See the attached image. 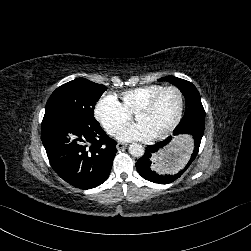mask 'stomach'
<instances>
[{
	"label": "stomach",
	"instance_id": "0dacf381",
	"mask_svg": "<svg viewBox=\"0 0 251 251\" xmlns=\"http://www.w3.org/2000/svg\"><path fill=\"white\" fill-rule=\"evenodd\" d=\"M192 149V142L188 138L175 139L154 158V167L169 175L178 173L183 167V160L191 154Z\"/></svg>",
	"mask_w": 251,
	"mask_h": 251
}]
</instances>
